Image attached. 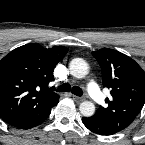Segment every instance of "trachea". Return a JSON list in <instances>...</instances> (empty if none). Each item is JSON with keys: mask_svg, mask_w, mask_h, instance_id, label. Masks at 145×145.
Instances as JSON below:
<instances>
[{"mask_svg": "<svg viewBox=\"0 0 145 145\" xmlns=\"http://www.w3.org/2000/svg\"><path fill=\"white\" fill-rule=\"evenodd\" d=\"M56 91L57 92H70L71 91L76 96H82L83 95V91L80 87L74 86V87L71 88V86L67 83H64L61 86H59Z\"/></svg>", "mask_w": 145, "mask_h": 145, "instance_id": "3493384b", "label": "trachea"}]
</instances>
